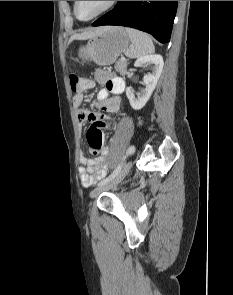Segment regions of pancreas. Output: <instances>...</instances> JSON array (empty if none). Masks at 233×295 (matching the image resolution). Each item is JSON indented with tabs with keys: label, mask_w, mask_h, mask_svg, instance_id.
<instances>
[{
	"label": "pancreas",
	"mask_w": 233,
	"mask_h": 295,
	"mask_svg": "<svg viewBox=\"0 0 233 295\" xmlns=\"http://www.w3.org/2000/svg\"><path fill=\"white\" fill-rule=\"evenodd\" d=\"M126 67H127V60H119L115 64V70L119 72L121 75L125 74Z\"/></svg>",
	"instance_id": "1"
}]
</instances>
